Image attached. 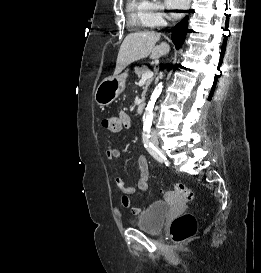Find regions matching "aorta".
Segmentation results:
<instances>
[{"instance_id":"obj_1","label":"aorta","mask_w":261,"mask_h":273,"mask_svg":"<svg viewBox=\"0 0 261 273\" xmlns=\"http://www.w3.org/2000/svg\"><path fill=\"white\" fill-rule=\"evenodd\" d=\"M163 85L162 83H158V85L155 87L150 100L145 108V112L143 115V124L144 128H150L152 125L153 120V110L156 103L157 98L159 97L161 91H162Z\"/></svg>"}]
</instances>
